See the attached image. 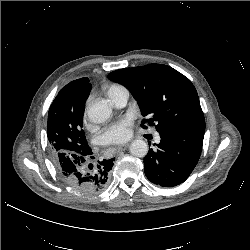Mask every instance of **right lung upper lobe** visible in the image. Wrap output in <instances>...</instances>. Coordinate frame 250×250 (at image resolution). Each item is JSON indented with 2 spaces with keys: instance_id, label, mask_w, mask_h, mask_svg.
<instances>
[{
  "instance_id": "obj_1",
  "label": "right lung upper lobe",
  "mask_w": 250,
  "mask_h": 250,
  "mask_svg": "<svg viewBox=\"0 0 250 250\" xmlns=\"http://www.w3.org/2000/svg\"><path fill=\"white\" fill-rule=\"evenodd\" d=\"M90 91L91 84L88 78L74 80L60 90L52 104L61 103L65 108L63 116L69 113L70 118L74 117L83 107L85 108Z\"/></svg>"
}]
</instances>
